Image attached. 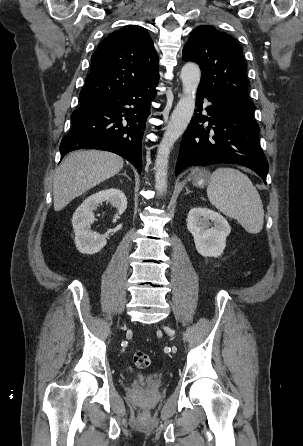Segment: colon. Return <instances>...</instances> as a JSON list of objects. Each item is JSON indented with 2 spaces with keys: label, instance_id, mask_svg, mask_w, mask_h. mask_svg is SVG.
Wrapping results in <instances>:
<instances>
[{
  "label": "colon",
  "instance_id": "obj_1",
  "mask_svg": "<svg viewBox=\"0 0 303 446\" xmlns=\"http://www.w3.org/2000/svg\"><path fill=\"white\" fill-rule=\"evenodd\" d=\"M133 363L138 369H146L151 364L149 355L143 351H136L133 354Z\"/></svg>",
  "mask_w": 303,
  "mask_h": 446
}]
</instances>
